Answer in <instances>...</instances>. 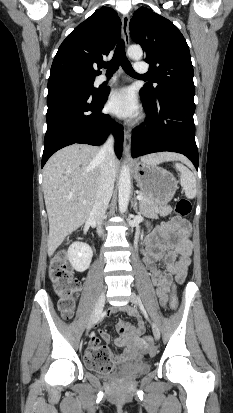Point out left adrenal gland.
Masks as SVG:
<instances>
[{
    "instance_id": "a2214340",
    "label": "left adrenal gland",
    "mask_w": 233,
    "mask_h": 413,
    "mask_svg": "<svg viewBox=\"0 0 233 413\" xmlns=\"http://www.w3.org/2000/svg\"><path fill=\"white\" fill-rule=\"evenodd\" d=\"M132 207H133V209H134V211H135L136 213H139L138 203H137V199H136V196H135V195H134V199H133V202H132Z\"/></svg>"
}]
</instances>
